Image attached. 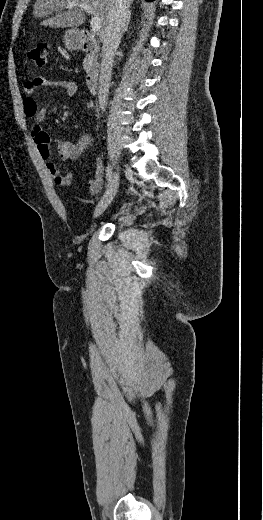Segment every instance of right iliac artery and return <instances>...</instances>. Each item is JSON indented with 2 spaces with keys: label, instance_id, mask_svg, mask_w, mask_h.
I'll return each mask as SVG.
<instances>
[{
  "label": "right iliac artery",
  "instance_id": "obj_1",
  "mask_svg": "<svg viewBox=\"0 0 263 520\" xmlns=\"http://www.w3.org/2000/svg\"><path fill=\"white\" fill-rule=\"evenodd\" d=\"M106 177H107V180L110 181L111 178H112V168L108 165L107 169H106Z\"/></svg>",
  "mask_w": 263,
  "mask_h": 520
}]
</instances>
